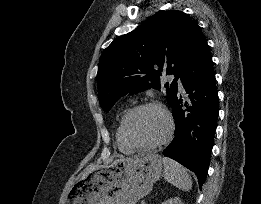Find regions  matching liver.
Wrapping results in <instances>:
<instances>
[{
	"label": "liver",
	"instance_id": "liver-1",
	"mask_svg": "<svg viewBox=\"0 0 261 204\" xmlns=\"http://www.w3.org/2000/svg\"><path fill=\"white\" fill-rule=\"evenodd\" d=\"M126 159H130V158H126ZM95 168H97L96 165H90V166L86 169V171L84 172L83 178H84L88 173H90L91 171H93Z\"/></svg>",
	"mask_w": 261,
	"mask_h": 204
}]
</instances>
